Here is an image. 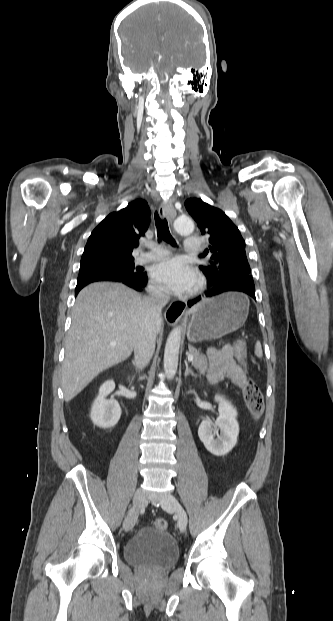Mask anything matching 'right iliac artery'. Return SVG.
<instances>
[{"instance_id":"obj_1","label":"right iliac artery","mask_w":333,"mask_h":621,"mask_svg":"<svg viewBox=\"0 0 333 621\" xmlns=\"http://www.w3.org/2000/svg\"><path fill=\"white\" fill-rule=\"evenodd\" d=\"M133 510H134V508H132V509L129 511V513H132V512H133Z\"/></svg>"}]
</instances>
